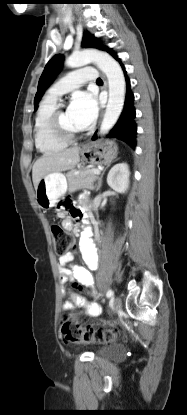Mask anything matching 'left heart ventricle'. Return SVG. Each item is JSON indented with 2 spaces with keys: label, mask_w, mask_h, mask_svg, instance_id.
<instances>
[{
  "label": "left heart ventricle",
  "mask_w": 187,
  "mask_h": 415,
  "mask_svg": "<svg viewBox=\"0 0 187 415\" xmlns=\"http://www.w3.org/2000/svg\"><path fill=\"white\" fill-rule=\"evenodd\" d=\"M61 123L62 126L69 132L77 133L82 131V129L78 127L74 120L71 118L68 111H64V113L62 114Z\"/></svg>",
  "instance_id": "obj_1"
}]
</instances>
